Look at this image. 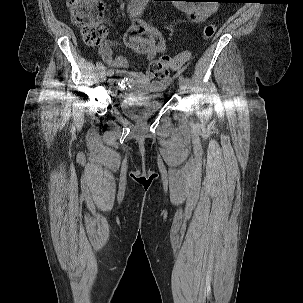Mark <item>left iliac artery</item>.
I'll return each mask as SVG.
<instances>
[{
	"label": "left iliac artery",
	"instance_id": "1",
	"mask_svg": "<svg viewBox=\"0 0 303 303\" xmlns=\"http://www.w3.org/2000/svg\"><path fill=\"white\" fill-rule=\"evenodd\" d=\"M185 82H186V87L187 88H191L192 87V80L187 76L186 78H185Z\"/></svg>",
	"mask_w": 303,
	"mask_h": 303
}]
</instances>
